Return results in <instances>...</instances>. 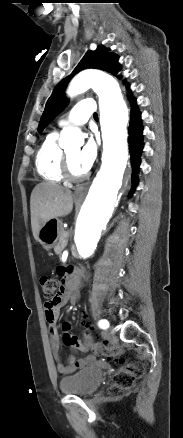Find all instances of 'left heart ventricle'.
I'll return each mask as SVG.
<instances>
[{"label":"left heart ventricle","instance_id":"obj_1","mask_svg":"<svg viewBox=\"0 0 183 438\" xmlns=\"http://www.w3.org/2000/svg\"><path fill=\"white\" fill-rule=\"evenodd\" d=\"M80 149L79 148H73L71 150H68L67 156L70 161V168L71 171L76 175H81L84 173L83 169L78 164V155H79Z\"/></svg>","mask_w":183,"mask_h":438}]
</instances>
